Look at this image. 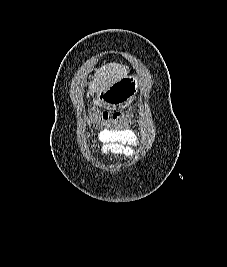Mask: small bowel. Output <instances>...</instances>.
<instances>
[{
	"mask_svg": "<svg viewBox=\"0 0 227 267\" xmlns=\"http://www.w3.org/2000/svg\"><path fill=\"white\" fill-rule=\"evenodd\" d=\"M98 140L103 153L131 156L138 146L137 135L131 130H101Z\"/></svg>",
	"mask_w": 227,
	"mask_h": 267,
	"instance_id": "small-bowel-1",
	"label": "small bowel"
}]
</instances>
